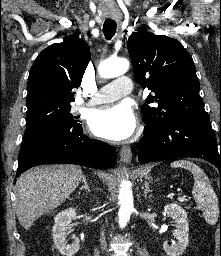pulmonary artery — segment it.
<instances>
[{
  "instance_id": "e3ab8cb5",
  "label": "pulmonary artery",
  "mask_w": 221,
  "mask_h": 256,
  "mask_svg": "<svg viewBox=\"0 0 221 256\" xmlns=\"http://www.w3.org/2000/svg\"><path fill=\"white\" fill-rule=\"evenodd\" d=\"M132 82L126 76L118 77L101 87L95 96L89 100L90 105H96L117 100L131 93Z\"/></svg>"
}]
</instances>
